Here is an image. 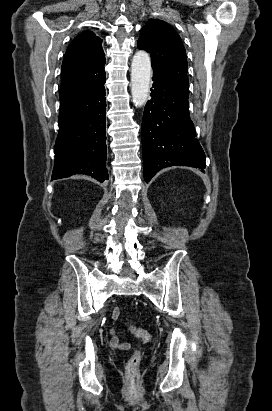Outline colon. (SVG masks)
Listing matches in <instances>:
<instances>
[{"mask_svg": "<svg viewBox=\"0 0 272 411\" xmlns=\"http://www.w3.org/2000/svg\"><path fill=\"white\" fill-rule=\"evenodd\" d=\"M130 331L144 342H149L151 340L150 332L145 329L130 326ZM140 362L141 353L136 350L126 363L127 380L130 387H137L138 385Z\"/></svg>", "mask_w": 272, "mask_h": 411, "instance_id": "colon-1", "label": "colon"}]
</instances>
